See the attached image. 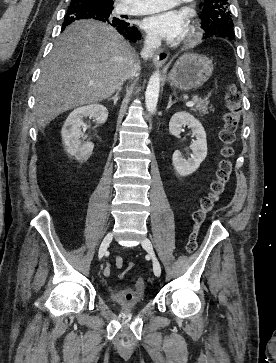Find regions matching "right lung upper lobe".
Returning <instances> with one entry per match:
<instances>
[{
	"label": "right lung upper lobe",
	"mask_w": 276,
	"mask_h": 363,
	"mask_svg": "<svg viewBox=\"0 0 276 363\" xmlns=\"http://www.w3.org/2000/svg\"><path fill=\"white\" fill-rule=\"evenodd\" d=\"M95 1H99L101 3L107 4V5H111L113 6L114 4V0H95ZM118 22H122L121 20H118Z\"/></svg>",
	"instance_id": "1"
}]
</instances>
